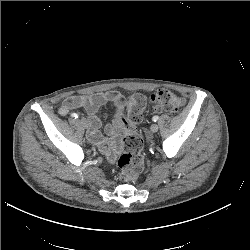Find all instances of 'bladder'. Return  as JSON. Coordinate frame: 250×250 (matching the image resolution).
<instances>
[{"instance_id":"obj_1","label":"bladder","mask_w":250,"mask_h":250,"mask_svg":"<svg viewBox=\"0 0 250 250\" xmlns=\"http://www.w3.org/2000/svg\"><path fill=\"white\" fill-rule=\"evenodd\" d=\"M116 119H117V122H116V129H117V130L123 129V126H122V123H121L120 119H119L118 117H116Z\"/></svg>"}]
</instances>
